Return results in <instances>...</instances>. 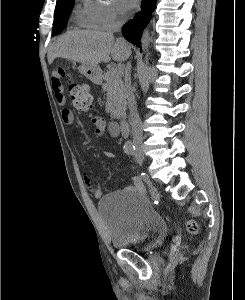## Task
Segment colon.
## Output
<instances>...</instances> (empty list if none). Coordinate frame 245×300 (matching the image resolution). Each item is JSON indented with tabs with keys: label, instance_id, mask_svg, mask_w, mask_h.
Masks as SVG:
<instances>
[{
	"label": "colon",
	"instance_id": "5ec220e1",
	"mask_svg": "<svg viewBox=\"0 0 245 300\" xmlns=\"http://www.w3.org/2000/svg\"><path fill=\"white\" fill-rule=\"evenodd\" d=\"M55 73L59 75L61 79H65L68 83L75 109L80 113L90 114L92 109V95L89 88L85 84L79 83L72 73L64 69H56ZM186 228L191 234H196L198 232V224L194 220L187 221Z\"/></svg>",
	"mask_w": 245,
	"mask_h": 300
}]
</instances>
